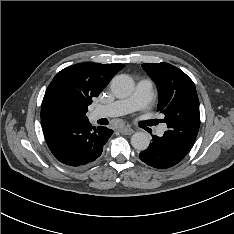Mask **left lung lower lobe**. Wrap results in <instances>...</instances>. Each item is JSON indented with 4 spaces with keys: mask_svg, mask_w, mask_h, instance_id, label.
<instances>
[{
    "mask_svg": "<svg viewBox=\"0 0 234 234\" xmlns=\"http://www.w3.org/2000/svg\"><path fill=\"white\" fill-rule=\"evenodd\" d=\"M188 151L189 149L164 133L162 137L153 136L152 143L139 154V157L149 166L165 169L179 163Z\"/></svg>",
    "mask_w": 234,
    "mask_h": 234,
    "instance_id": "0a47b994",
    "label": "left lung lower lobe"
}]
</instances>
